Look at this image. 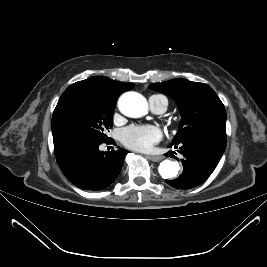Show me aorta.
Returning a JSON list of instances; mask_svg holds the SVG:
<instances>
[{"label":"aorta","mask_w":267,"mask_h":267,"mask_svg":"<svg viewBox=\"0 0 267 267\" xmlns=\"http://www.w3.org/2000/svg\"><path fill=\"white\" fill-rule=\"evenodd\" d=\"M118 108L127 117L139 118L147 114L148 103L141 94L127 92L119 98ZM158 171L163 179H172L178 174L179 164L176 161L166 159L160 163Z\"/></svg>","instance_id":"762f6f07"}]
</instances>
